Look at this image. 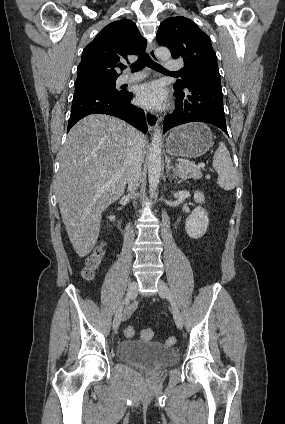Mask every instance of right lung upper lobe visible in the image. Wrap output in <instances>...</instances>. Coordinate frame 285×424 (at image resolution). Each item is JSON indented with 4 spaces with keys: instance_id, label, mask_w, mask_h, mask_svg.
I'll list each match as a JSON object with an SVG mask.
<instances>
[{
    "instance_id": "right-lung-upper-lobe-1",
    "label": "right lung upper lobe",
    "mask_w": 285,
    "mask_h": 424,
    "mask_svg": "<svg viewBox=\"0 0 285 424\" xmlns=\"http://www.w3.org/2000/svg\"><path fill=\"white\" fill-rule=\"evenodd\" d=\"M146 44L133 21L121 19L108 24L83 50L75 84L116 80L119 62L127 55L143 52Z\"/></svg>"
}]
</instances>
